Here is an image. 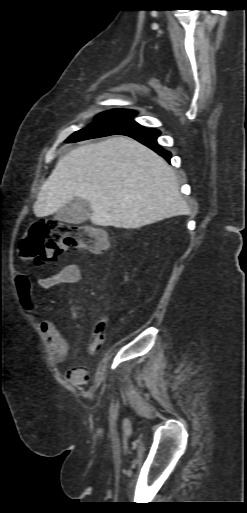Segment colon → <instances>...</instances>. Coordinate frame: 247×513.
<instances>
[{
    "instance_id": "1",
    "label": "colon",
    "mask_w": 247,
    "mask_h": 513,
    "mask_svg": "<svg viewBox=\"0 0 247 513\" xmlns=\"http://www.w3.org/2000/svg\"><path fill=\"white\" fill-rule=\"evenodd\" d=\"M109 246L104 231L85 225L70 224L54 219H42L32 224L19 243L22 257L37 262L55 261L70 248L102 253ZM105 322H97L91 345L98 349L105 341Z\"/></svg>"
}]
</instances>
